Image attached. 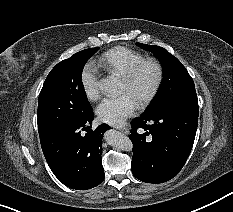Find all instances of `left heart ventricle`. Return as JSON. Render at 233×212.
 I'll return each instance as SVG.
<instances>
[{"label": "left heart ventricle", "mask_w": 233, "mask_h": 212, "mask_svg": "<svg viewBox=\"0 0 233 212\" xmlns=\"http://www.w3.org/2000/svg\"><path fill=\"white\" fill-rule=\"evenodd\" d=\"M155 80V69L152 65H146L139 72L132 84L121 81L120 93L129 94L138 104L149 92Z\"/></svg>", "instance_id": "obj_1"}]
</instances>
